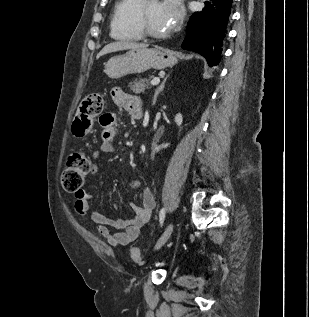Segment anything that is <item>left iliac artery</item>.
Masks as SVG:
<instances>
[{"label": "left iliac artery", "instance_id": "1", "mask_svg": "<svg viewBox=\"0 0 309 317\" xmlns=\"http://www.w3.org/2000/svg\"><path fill=\"white\" fill-rule=\"evenodd\" d=\"M165 213H166V209L162 208L160 210V213H159V222H160L161 226L163 225V222H164Z\"/></svg>", "mask_w": 309, "mask_h": 317}]
</instances>
